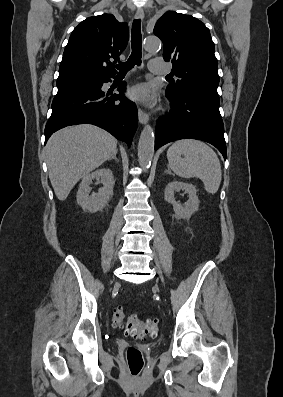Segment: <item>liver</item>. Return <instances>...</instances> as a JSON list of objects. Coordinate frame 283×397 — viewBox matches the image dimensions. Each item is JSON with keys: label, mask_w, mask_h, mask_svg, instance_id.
Masks as SVG:
<instances>
[{"label": "liver", "mask_w": 283, "mask_h": 397, "mask_svg": "<svg viewBox=\"0 0 283 397\" xmlns=\"http://www.w3.org/2000/svg\"><path fill=\"white\" fill-rule=\"evenodd\" d=\"M117 152V140L105 130L82 124L63 128L48 140L49 179L57 198L65 200L75 184Z\"/></svg>", "instance_id": "6515ba94"}]
</instances>
